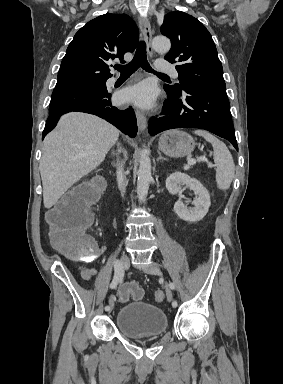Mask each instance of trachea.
Masks as SVG:
<instances>
[{"instance_id":"obj_1","label":"trachea","mask_w":283,"mask_h":384,"mask_svg":"<svg viewBox=\"0 0 283 384\" xmlns=\"http://www.w3.org/2000/svg\"><path fill=\"white\" fill-rule=\"evenodd\" d=\"M139 67L143 68V70H145L146 72H151L157 75L168 77V75H166L165 73L155 72V70L150 67L146 56V43L144 41H141L139 43L133 60L131 62L126 65H116L114 68L118 70L121 74H132Z\"/></svg>"}]
</instances>
